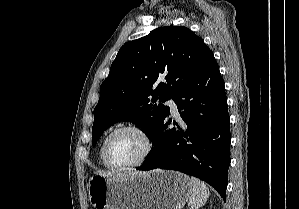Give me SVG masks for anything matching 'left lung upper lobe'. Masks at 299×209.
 I'll list each match as a JSON object with an SVG mask.
<instances>
[{
	"instance_id": "5c2ea615",
	"label": "left lung upper lobe",
	"mask_w": 299,
	"mask_h": 209,
	"mask_svg": "<svg viewBox=\"0 0 299 209\" xmlns=\"http://www.w3.org/2000/svg\"><path fill=\"white\" fill-rule=\"evenodd\" d=\"M203 40L183 26H165L125 43L100 87L92 145L119 121H130L152 140L169 114V100L213 58Z\"/></svg>"
}]
</instances>
